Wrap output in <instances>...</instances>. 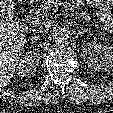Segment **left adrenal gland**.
I'll list each match as a JSON object with an SVG mask.
<instances>
[{"label":"left adrenal gland","instance_id":"left-adrenal-gland-1","mask_svg":"<svg viewBox=\"0 0 113 113\" xmlns=\"http://www.w3.org/2000/svg\"><path fill=\"white\" fill-rule=\"evenodd\" d=\"M78 34H84V30L82 29L81 31L78 32Z\"/></svg>","mask_w":113,"mask_h":113}]
</instances>
